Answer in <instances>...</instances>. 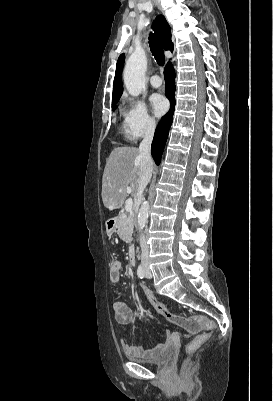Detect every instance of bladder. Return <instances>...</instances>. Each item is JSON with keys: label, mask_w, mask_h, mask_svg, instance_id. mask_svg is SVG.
I'll return each instance as SVG.
<instances>
[{"label": "bladder", "mask_w": 273, "mask_h": 401, "mask_svg": "<svg viewBox=\"0 0 273 401\" xmlns=\"http://www.w3.org/2000/svg\"><path fill=\"white\" fill-rule=\"evenodd\" d=\"M172 357H173V351L171 349H168L165 352H163L158 358L153 360H143L132 356H129V359L141 364H149L160 367L168 364L171 361Z\"/></svg>", "instance_id": "31cf9c89"}]
</instances>
